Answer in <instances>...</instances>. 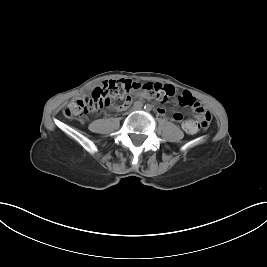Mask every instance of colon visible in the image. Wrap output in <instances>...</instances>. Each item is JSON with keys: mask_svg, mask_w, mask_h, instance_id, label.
I'll list each match as a JSON object with an SVG mask.
<instances>
[{"mask_svg": "<svg viewBox=\"0 0 267 267\" xmlns=\"http://www.w3.org/2000/svg\"><path fill=\"white\" fill-rule=\"evenodd\" d=\"M134 94L145 96L149 99L165 103L173 96L171 86L159 83L139 84L132 81L117 80L97 88L90 96L77 95L65 106L64 113L73 119L85 120L91 113L109 106L116 100H131ZM182 106H191L195 115V124L199 129H207L211 122L210 113L195 101L190 95L183 93L179 97ZM179 119V115H174Z\"/></svg>", "mask_w": 267, "mask_h": 267, "instance_id": "obj_1", "label": "colon"}]
</instances>
